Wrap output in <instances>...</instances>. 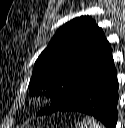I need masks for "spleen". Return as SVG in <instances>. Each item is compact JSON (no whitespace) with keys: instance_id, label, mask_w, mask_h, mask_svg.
I'll list each match as a JSON object with an SVG mask.
<instances>
[{"instance_id":"obj_1","label":"spleen","mask_w":125,"mask_h":128,"mask_svg":"<svg viewBox=\"0 0 125 128\" xmlns=\"http://www.w3.org/2000/svg\"><path fill=\"white\" fill-rule=\"evenodd\" d=\"M76 128H104V126L99 124L92 117H85L83 121L76 124Z\"/></svg>"}]
</instances>
